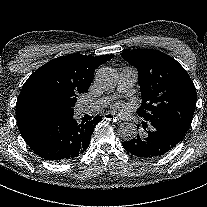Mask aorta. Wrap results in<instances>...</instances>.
<instances>
[{
  "instance_id": "obj_1",
  "label": "aorta",
  "mask_w": 207,
  "mask_h": 207,
  "mask_svg": "<svg viewBox=\"0 0 207 207\" xmlns=\"http://www.w3.org/2000/svg\"><path fill=\"white\" fill-rule=\"evenodd\" d=\"M95 80L104 90H112L118 82V73L114 68L103 66L98 69ZM118 135L124 141H130L137 135V128L133 123H122L118 127Z\"/></svg>"
}]
</instances>
